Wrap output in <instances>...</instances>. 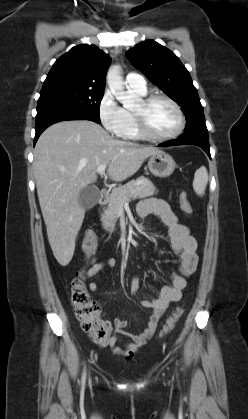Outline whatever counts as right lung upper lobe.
I'll return each mask as SVG.
<instances>
[{"mask_svg":"<svg viewBox=\"0 0 248 419\" xmlns=\"http://www.w3.org/2000/svg\"><path fill=\"white\" fill-rule=\"evenodd\" d=\"M110 57L95 45H78L52 66L42 88L67 86L104 90Z\"/></svg>","mask_w":248,"mask_h":419,"instance_id":"obj_1","label":"right lung upper lobe"}]
</instances>
